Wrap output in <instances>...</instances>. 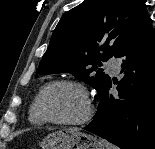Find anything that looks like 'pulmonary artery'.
<instances>
[{
	"label": "pulmonary artery",
	"mask_w": 155,
	"mask_h": 149,
	"mask_svg": "<svg viewBox=\"0 0 155 149\" xmlns=\"http://www.w3.org/2000/svg\"><path fill=\"white\" fill-rule=\"evenodd\" d=\"M107 67L114 73H117L120 70V61L112 58L107 62Z\"/></svg>",
	"instance_id": "pulmonary-artery-1"
}]
</instances>
